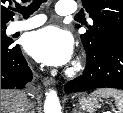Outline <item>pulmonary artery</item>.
Segmentation results:
<instances>
[{"label":"pulmonary artery","mask_w":123,"mask_h":113,"mask_svg":"<svg viewBox=\"0 0 123 113\" xmlns=\"http://www.w3.org/2000/svg\"><path fill=\"white\" fill-rule=\"evenodd\" d=\"M56 11L60 15L72 14L76 11V3L72 1H59L56 5ZM46 20L42 14L34 15L26 20H19L12 24L11 32L27 31L39 27Z\"/></svg>","instance_id":"1"}]
</instances>
